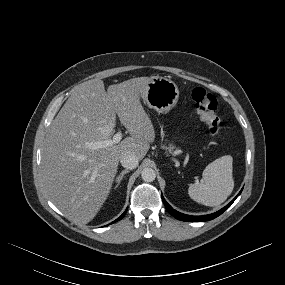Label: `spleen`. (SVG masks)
Segmentation results:
<instances>
[{"label":"spleen","mask_w":285,"mask_h":285,"mask_svg":"<svg viewBox=\"0 0 285 285\" xmlns=\"http://www.w3.org/2000/svg\"><path fill=\"white\" fill-rule=\"evenodd\" d=\"M232 162V156L225 155L207 165L201 182L189 186V196L206 206L213 207L223 203L234 188Z\"/></svg>","instance_id":"spleen-1"}]
</instances>
